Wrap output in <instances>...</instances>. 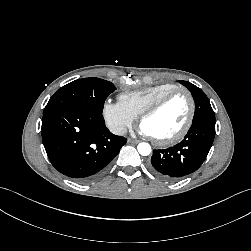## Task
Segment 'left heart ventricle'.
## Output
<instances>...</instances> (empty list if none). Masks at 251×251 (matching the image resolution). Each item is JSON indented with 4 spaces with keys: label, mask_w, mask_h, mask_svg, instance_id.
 I'll return each instance as SVG.
<instances>
[{
    "label": "left heart ventricle",
    "mask_w": 251,
    "mask_h": 251,
    "mask_svg": "<svg viewBox=\"0 0 251 251\" xmlns=\"http://www.w3.org/2000/svg\"><path fill=\"white\" fill-rule=\"evenodd\" d=\"M189 102L185 95L178 94L170 99L156 114L143 120L155 138H167L177 133L188 117Z\"/></svg>",
    "instance_id": "1"
}]
</instances>
